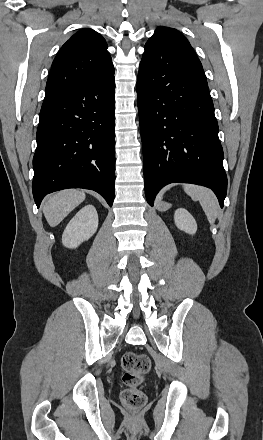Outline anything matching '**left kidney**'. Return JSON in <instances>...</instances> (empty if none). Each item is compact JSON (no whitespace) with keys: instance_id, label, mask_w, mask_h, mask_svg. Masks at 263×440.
<instances>
[{"instance_id":"left-kidney-1","label":"left kidney","mask_w":263,"mask_h":440,"mask_svg":"<svg viewBox=\"0 0 263 440\" xmlns=\"http://www.w3.org/2000/svg\"><path fill=\"white\" fill-rule=\"evenodd\" d=\"M174 221L178 229L188 234H195L197 223L193 216L184 208H178L174 213Z\"/></svg>"}]
</instances>
